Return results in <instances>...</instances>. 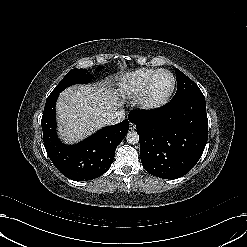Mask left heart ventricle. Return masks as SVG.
<instances>
[{"mask_svg":"<svg viewBox=\"0 0 247 247\" xmlns=\"http://www.w3.org/2000/svg\"><path fill=\"white\" fill-rule=\"evenodd\" d=\"M171 78L166 73H161L157 76L156 80L153 83L152 91L154 95H163L171 87Z\"/></svg>","mask_w":247,"mask_h":247,"instance_id":"b2bd125f","label":"left heart ventricle"}]
</instances>
